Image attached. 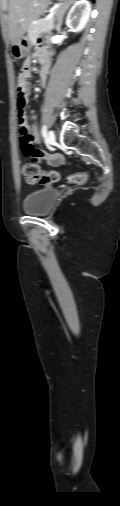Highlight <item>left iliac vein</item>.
Instances as JSON below:
<instances>
[{
  "label": "left iliac vein",
  "mask_w": 120,
  "mask_h": 506,
  "mask_svg": "<svg viewBox=\"0 0 120 506\" xmlns=\"http://www.w3.org/2000/svg\"><path fill=\"white\" fill-rule=\"evenodd\" d=\"M47 139H48V141H49L50 143H54V142H55L56 136H55L54 131L50 130V131L48 132Z\"/></svg>",
  "instance_id": "1"
}]
</instances>
